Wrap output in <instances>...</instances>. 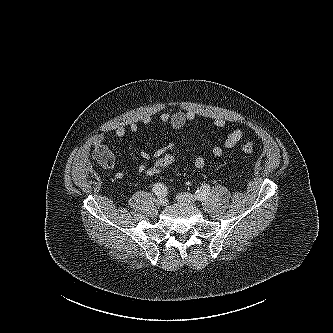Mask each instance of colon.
<instances>
[{
  "label": "colon",
  "mask_w": 333,
  "mask_h": 333,
  "mask_svg": "<svg viewBox=\"0 0 333 333\" xmlns=\"http://www.w3.org/2000/svg\"><path fill=\"white\" fill-rule=\"evenodd\" d=\"M241 150L246 154H252L254 152V146L252 143H245L241 146ZM176 160V156L173 152H167L158 158L153 163L146 166L145 175L149 177H157L165 172Z\"/></svg>",
  "instance_id": "5ec220e1"
}]
</instances>
